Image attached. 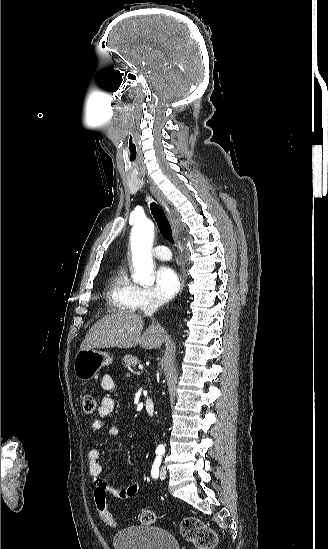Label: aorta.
I'll use <instances>...</instances> for the list:
<instances>
[{
  "instance_id": "aorta-1",
  "label": "aorta",
  "mask_w": 328,
  "mask_h": 549,
  "mask_svg": "<svg viewBox=\"0 0 328 549\" xmlns=\"http://www.w3.org/2000/svg\"><path fill=\"white\" fill-rule=\"evenodd\" d=\"M154 238V224L149 219L135 222L131 231L132 261L135 268L133 280L142 286H151L154 283L151 247ZM159 450H164L159 445Z\"/></svg>"
}]
</instances>
